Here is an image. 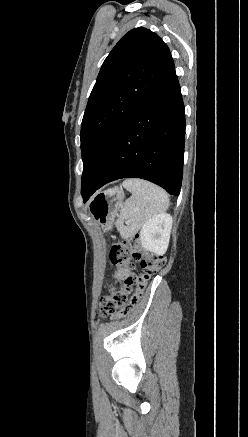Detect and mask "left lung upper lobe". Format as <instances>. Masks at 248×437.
<instances>
[{
	"instance_id": "5c2ea615",
	"label": "left lung upper lobe",
	"mask_w": 248,
	"mask_h": 437,
	"mask_svg": "<svg viewBox=\"0 0 248 437\" xmlns=\"http://www.w3.org/2000/svg\"><path fill=\"white\" fill-rule=\"evenodd\" d=\"M174 68L168 46L154 32L134 28L109 53L81 124V193L89 189L136 109Z\"/></svg>"
}]
</instances>
